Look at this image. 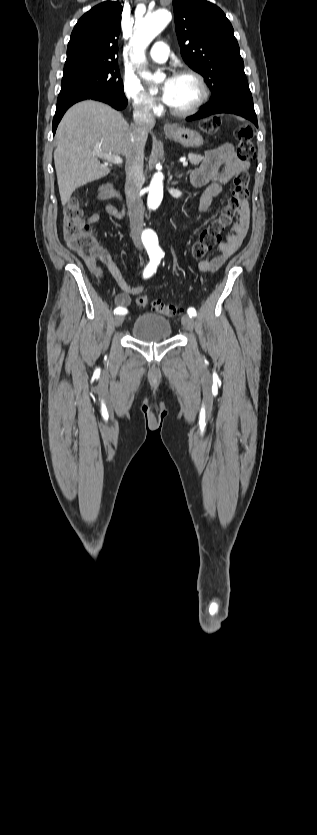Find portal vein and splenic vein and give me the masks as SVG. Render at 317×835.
Listing matches in <instances>:
<instances>
[{
	"instance_id": "18ae733b",
	"label": "portal vein and splenic vein",
	"mask_w": 317,
	"mask_h": 835,
	"mask_svg": "<svg viewBox=\"0 0 317 835\" xmlns=\"http://www.w3.org/2000/svg\"><path fill=\"white\" fill-rule=\"evenodd\" d=\"M97 153H98L99 155H102L104 158H106L107 160H109V161H111V162H113V163H115V164H122V163H123V159H122L119 155L112 154V153H106V154H102L101 152H97ZM183 166H184V167H187V166H188V162H187V161H184V162H183Z\"/></svg>"
}]
</instances>
